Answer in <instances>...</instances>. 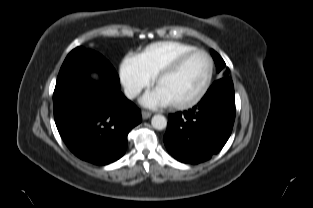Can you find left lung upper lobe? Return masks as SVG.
Returning <instances> with one entry per match:
<instances>
[{
  "label": "left lung upper lobe",
  "mask_w": 313,
  "mask_h": 208,
  "mask_svg": "<svg viewBox=\"0 0 313 208\" xmlns=\"http://www.w3.org/2000/svg\"><path fill=\"white\" fill-rule=\"evenodd\" d=\"M213 59L215 61L216 64V68H217V72H224L223 78L225 77H229L228 76V68H225V62L224 60L220 57V55L218 53H216L214 50H211ZM230 78V77H229Z\"/></svg>",
  "instance_id": "obj_1"
}]
</instances>
